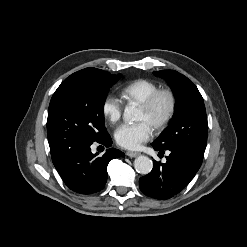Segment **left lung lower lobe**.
I'll use <instances>...</instances> for the list:
<instances>
[{
	"instance_id": "0a47b994",
	"label": "left lung lower lobe",
	"mask_w": 247,
	"mask_h": 247,
	"mask_svg": "<svg viewBox=\"0 0 247 247\" xmlns=\"http://www.w3.org/2000/svg\"><path fill=\"white\" fill-rule=\"evenodd\" d=\"M156 151H170L166 163L154 160L152 171L139 180L140 190L146 195L157 199H167L179 193L199 170L204 152L190 146H176L168 149L159 147L154 142Z\"/></svg>"
}]
</instances>
